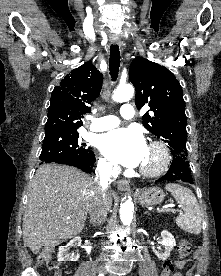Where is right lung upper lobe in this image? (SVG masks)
<instances>
[{"label": "right lung upper lobe", "instance_id": "obj_1", "mask_svg": "<svg viewBox=\"0 0 221 276\" xmlns=\"http://www.w3.org/2000/svg\"><path fill=\"white\" fill-rule=\"evenodd\" d=\"M102 74L91 61L71 71L51 94L45 134L76 132L101 91Z\"/></svg>", "mask_w": 221, "mask_h": 276}]
</instances>
